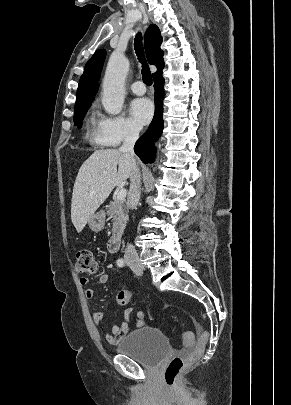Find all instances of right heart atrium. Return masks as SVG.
Returning <instances> with one entry per match:
<instances>
[{
  "label": "right heart atrium",
  "instance_id": "right-heart-atrium-1",
  "mask_svg": "<svg viewBox=\"0 0 291 405\" xmlns=\"http://www.w3.org/2000/svg\"><path fill=\"white\" fill-rule=\"evenodd\" d=\"M139 127L122 115H102L97 123V136L101 145L117 147L122 142L135 140Z\"/></svg>",
  "mask_w": 291,
  "mask_h": 405
}]
</instances>
